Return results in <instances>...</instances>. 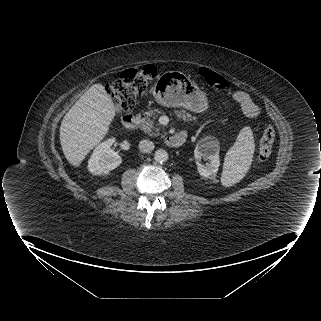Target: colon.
I'll list each match as a JSON object with an SVG mask.
<instances>
[{"label": "colon", "instance_id": "1", "mask_svg": "<svg viewBox=\"0 0 321 321\" xmlns=\"http://www.w3.org/2000/svg\"><path fill=\"white\" fill-rule=\"evenodd\" d=\"M199 74L210 87L226 90L228 81L207 67H201ZM157 75V66L147 64L142 67L124 70L120 77L109 84L108 92L112 97L118 113L130 112L138 96L144 94L149 82ZM275 131L271 126L265 128L259 144L258 159L265 162L272 153Z\"/></svg>", "mask_w": 321, "mask_h": 321}]
</instances>
